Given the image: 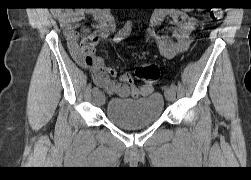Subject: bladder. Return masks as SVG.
I'll return each instance as SVG.
<instances>
[{
  "label": "bladder",
  "instance_id": "obj_1",
  "mask_svg": "<svg viewBox=\"0 0 251 180\" xmlns=\"http://www.w3.org/2000/svg\"><path fill=\"white\" fill-rule=\"evenodd\" d=\"M164 98L158 92L140 99H111L106 107L109 121L125 129L142 128L158 121L164 110Z\"/></svg>",
  "mask_w": 251,
  "mask_h": 180
}]
</instances>
